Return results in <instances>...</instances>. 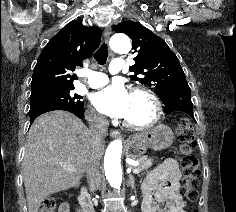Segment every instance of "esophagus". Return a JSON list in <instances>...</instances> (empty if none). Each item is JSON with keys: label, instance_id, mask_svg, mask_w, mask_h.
<instances>
[{"label": "esophagus", "instance_id": "obj_1", "mask_svg": "<svg viewBox=\"0 0 236 212\" xmlns=\"http://www.w3.org/2000/svg\"><path fill=\"white\" fill-rule=\"evenodd\" d=\"M111 33H112L111 27L107 26L104 29V33H103L104 41H105L106 44H108V42H109ZM110 136L113 137V138H118V137H121V133L118 130H111L110 131Z\"/></svg>", "mask_w": 236, "mask_h": 212}]
</instances>
